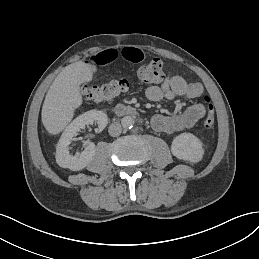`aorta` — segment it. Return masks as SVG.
<instances>
[{
    "label": "aorta",
    "mask_w": 259,
    "mask_h": 259,
    "mask_svg": "<svg viewBox=\"0 0 259 259\" xmlns=\"http://www.w3.org/2000/svg\"><path fill=\"white\" fill-rule=\"evenodd\" d=\"M121 124L124 129H131L134 125V119L131 116H125L121 119Z\"/></svg>",
    "instance_id": "762f6f07"
}]
</instances>
